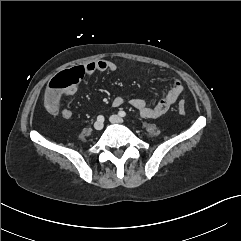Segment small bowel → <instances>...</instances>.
Listing matches in <instances>:
<instances>
[{"label":"small bowel","instance_id":"c3829d8e","mask_svg":"<svg viewBox=\"0 0 241 241\" xmlns=\"http://www.w3.org/2000/svg\"><path fill=\"white\" fill-rule=\"evenodd\" d=\"M83 66L86 68L87 74H91L97 71L115 72L117 70V65L114 62L108 60L93 61ZM182 91V83L179 80H175L166 95L155 105L150 106L145 100L140 98L130 99L129 104L136 108L142 117L155 119L164 115L171 108V106L176 102ZM75 92L76 87H70L66 92H64L60 97H58L52 105H47L48 111L52 115L60 114L61 117L64 119H71L73 116L72 111L68 108H62L61 100L64 97L72 96L73 94H75ZM123 103L124 99L121 96H115L111 102L113 107H120L121 105H123Z\"/></svg>","mask_w":241,"mask_h":241}]
</instances>
